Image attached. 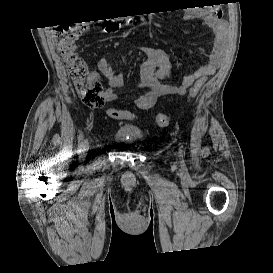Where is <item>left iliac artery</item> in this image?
Returning a JSON list of instances; mask_svg holds the SVG:
<instances>
[{"label":"left iliac artery","instance_id":"1","mask_svg":"<svg viewBox=\"0 0 273 273\" xmlns=\"http://www.w3.org/2000/svg\"><path fill=\"white\" fill-rule=\"evenodd\" d=\"M179 154H180V156L182 155V149H181V147L179 148Z\"/></svg>","mask_w":273,"mask_h":273}]
</instances>
